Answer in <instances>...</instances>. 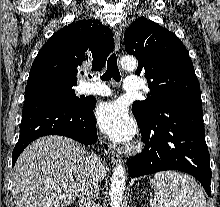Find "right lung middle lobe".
<instances>
[{"label":"right lung middle lobe","mask_w":220,"mask_h":207,"mask_svg":"<svg viewBox=\"0 0 220 207\" xmlns=\"http://www.w3.org/2000/svg\"><path fill=\"white\" fill-rule=\"evenodd\" d=\"M35 84L45 85L60 91L74 105L85 103L86 99L78 98L75 94L74 84H68L55 79H44L35 82Z\"/></svg>","instance_id":"1"}]
</instances>
